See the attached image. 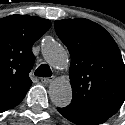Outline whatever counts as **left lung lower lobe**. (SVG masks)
Segmentation results:
<instances>
[{"label": "left lung lower lobe", "instance_id": "1", "mask_svg": "<svg viewBox=\"0 0 125 125\" xmlns=\"http://www.w3.org/2000/svg\"><path fill=\"white\" fill-rule=\"evenodd\" d=\"M69 121L77 125H98L107 121L118 109L113 107L102 108H57Z\"/></svg>", "mask_w": 125, "mask_h": 125}]
</instances>
